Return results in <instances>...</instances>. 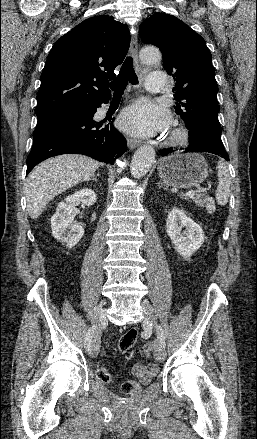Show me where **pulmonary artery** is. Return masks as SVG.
<instances>
[{"label": "pulmonary artery", "mask_w": 257, "mask_h": 439, "mask_svg": "<svg viewBox=\"0 0 257 439\" xmlns=\"http://www.w3.org/2000/svg\"><path fill=\"white\" fill-rule=\"evenodd\" d=\"M166 85V75L162 72L150 73L146 78V89L151 93H162Z\"/></svg>", "instance_id": "e3ab8cb5"}]
</instances>
